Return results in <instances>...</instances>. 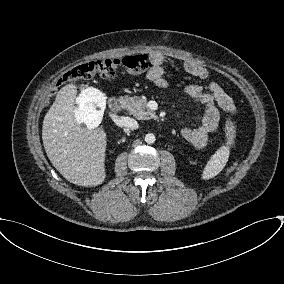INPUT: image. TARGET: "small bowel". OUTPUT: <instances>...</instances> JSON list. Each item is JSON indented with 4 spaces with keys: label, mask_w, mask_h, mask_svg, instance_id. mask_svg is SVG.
I'll return each instance as SVG.
<instances>
[{
    "label": "small bowel",
    "mask_w": 284,
    "mask_h": 284,
    "mask_svg": "<svg viewBox=\"0 0 284 284\" xmlns=\"http://www.w3.org/2000/svg\"><path fill=\"white\" fill-rule=\"evenodd\" d=\"M152 67L147 73V79L159 88L167 86L164 78L167 65V56L160 51H153L150 54ZM183 69L186 73L205 80L209 76L208 69L201 63L193 60L183 61ZM185 93L192 100L204 107L202 123L195 128H185L182 137L190 142L196 149L202 150L207 146L209 136L219 130L220 110L235 114L236 109L232 98L216 82H211L203 87L198 84H190L185 88Z\"/></svg>",
    "instance_id": "1"
}]
</instances>
